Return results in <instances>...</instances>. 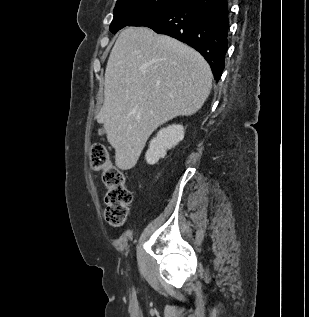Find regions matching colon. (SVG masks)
<instances>
[{"label": "colon", "instance_id": "obj_1", "mask_svg": "<svg viewBox=\"0 0 309 317\" xmlns=\"http://www.w3.org/2000/svg\"><path fill=\"white\" fill-rule=\"evenodd\" d=\"M90 167L102 172V181L106 187L105 220L113 227H120L125 222L132 194L126 187L125 175L115 167L109 158L106 147L93 143L90 148Z\"/></svg>", "mask_w": 309, "mask_h": 317}]
</instances>
